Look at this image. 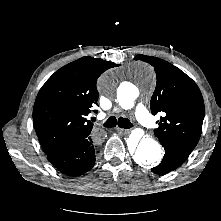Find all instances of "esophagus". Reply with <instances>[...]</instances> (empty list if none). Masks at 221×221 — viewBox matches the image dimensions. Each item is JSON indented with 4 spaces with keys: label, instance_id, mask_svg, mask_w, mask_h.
Wrapping results in <instances>:
<instances>
[{
    "label": "esophagus",
    "instance_id": "34e87169",
    "mask_svg": "<svg viewBox=\"0 0 221 221\" xmlns=\"http://www.w3.org/2000/svg\"><path fill=\"white\" fill-rule=\"evenodd\" d=\"M117 130L124 133V134H127L130 132L128 129H122V128H117Z\"/></svg>",
    "mask_w": 221,
    "mask_h": 221
}]
</instances>
